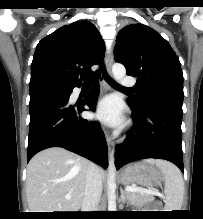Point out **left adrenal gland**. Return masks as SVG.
Returning a JSON list of instances; mask_svg holds the SVG:
<instances>
[{
  "label": "left adrenal gland",
  "mask_w": 203,
  "mask_h": 219,
  "mask_svg": "<svg viewBox=\"0 0 203 219\" xmlns=\"http://www.w3.org/2000/svg\"><path fill=\"white\" fill-rule=\"evenodd\" d=\"M120 192H121L120 201L124 204L127 200V195L122 187L120 188ZM120 206H122V205H120Z\"/></svg>",
  "instance_id": "1"
}]
</instances>
